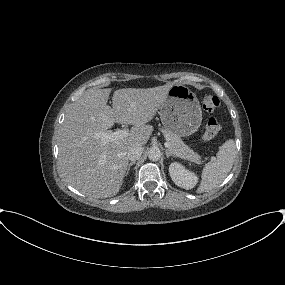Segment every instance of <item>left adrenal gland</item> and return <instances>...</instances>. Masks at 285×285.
Wrapping results in <instances>:
<instances>
[{
  "instance_id": "a2214340",
  "label": "left adrenal gland",
  "mask_w": 285,
  "mask_h": 285,
  "mask_svg": "<svg viewBox=\"0 0 285 285\" xmlns=\"http://www.w3.org/2000/svg\"><path fill=\"white\" fill-rule=\"evenodd\" d=\"M166 157L169 158L170 156H174L172 153H170L168 150H165Z\"/></svg>"
}]
</instances>
